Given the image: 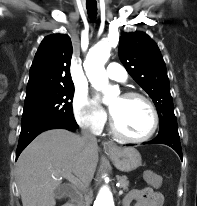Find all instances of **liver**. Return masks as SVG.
Returning a JSON list of instances; mask_svg holds the SVG:
<instances>
[{
  "label": "liver",
  "mask_w": 197,
  "mask_h": 206,
  "mask_svg": "<svg viewBox=\"0 0 197 206\" xmlns=\"http://www.w3.org/2000/svg\"><path fill=\"white\" fill-rule=\"evenodd\" d=\"M98 163V146L89 147L82 137L64 129L37 136L17 161V184L23 206H55L61 177L70 175L79 185L91 183ZM66 178V177H65Z\"/></svg>",
  "instance_id": "obj_1"
}]
</instances>
